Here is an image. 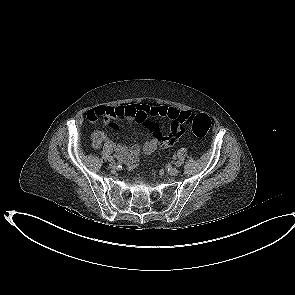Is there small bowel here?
Instances as JSON below:
<instances>
[{"instance_id": "1", "label": "small bowel", "mask_w": 295, "mask_h": 295, "mask_svg": "<svg viewBox=\"0 0 295 295\" xmlns=\"http://www.w3.org/2000/svg\"><path fill=\"white\" fill-rule=\"evenodd\" d=\"M189 113L188 111H179L168 106L151 107L146 104L135 103L116 107L103 106L93 108L87 112V118L90 122H95L97 119L104 120L107 125L111 124L113 120H128L143 123L151 132V139L157 142V148H169L180 137L179 116ZM162 120L169 121V131L166 134L162 133ZM103 142L106 143L108 148L116 151L121 161L130 165L134 164L140 152L137 146L112 143L102 130H98L93 138V145L98 148Z\"/></svg>"}]
</instances>
